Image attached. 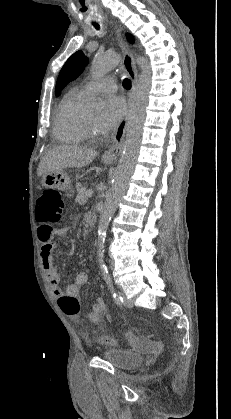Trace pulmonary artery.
<instances>
[{
    "label": "pulmonary artery",
    "mask_w": 231,
    "mask_h": 419,
    "mask_svg": "<svg viewBox=\"0 0 231 419\" xmlns=\"http://www.w3.org/2000/svg\"><path fill=\"white\" fill-rule=\"evenodd\" d=\"M117 89L116 80L113 76H106L95 83L86 85L82 87L81 91L83 93L89 92H105V93H113Z\"/></svg>",
    "instance_id": "pulmonary-artery-1"
}]
</instances>
